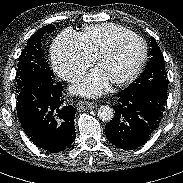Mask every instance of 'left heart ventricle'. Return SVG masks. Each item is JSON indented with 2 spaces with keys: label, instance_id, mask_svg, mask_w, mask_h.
<instances>
[{
  "label": "left heart ventricle",
  "instance_id": "1",
  "mask_svg": "<svg viewBox=\"0 0 183 183\" xmlns=\"http://www.w3.org/2000/svg\"><path fill=\"white\" fill-rule=\"evenodd\" d=\"M142 44L131 40L122 44L110 57L104 59L98 68L108 78L109 82L128 75L138 63L142 54Z\"/></svg>",
  "mask_w": 183,
  "mask_h": 183
}]
</instances>
